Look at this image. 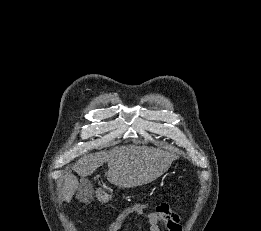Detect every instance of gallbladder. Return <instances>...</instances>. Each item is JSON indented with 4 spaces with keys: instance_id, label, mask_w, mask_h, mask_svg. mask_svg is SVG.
Returning <instances> with one entry per match:
<instances>
[{
    "instance_id": "gallbladder-1",
    "label": "gallbladder",
    "mask_w": 261,
    "mask_h": 231,
    "mask_svg": "<svg viewBox=\"0 0 261 231\" xmlns=\"http://www.w3.org/2000/svg\"><path fill=\"white\" fill-rule=\"evenodd\" d=\"M93 194V186L91 182L85 178L82 177L80 179V188L77 192V199L80 201L87 200L91 195Z\"/></svg>"
}]
</instances>
